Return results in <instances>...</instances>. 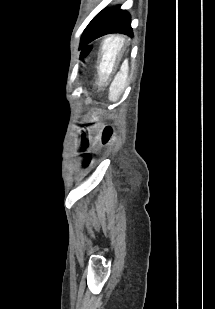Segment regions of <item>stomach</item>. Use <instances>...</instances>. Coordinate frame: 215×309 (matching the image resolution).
Wrapping results in <instances>:
<instances>
[{
  "mask_svg": "<svg viewBox=\"0 0 215 309\" xmlns=\"http://www.w3.org/2000/svg\"><path fill=\"white\" fill-rule=\"evenodd\" d=\"M125 38L110 36L102 42L101 62L98 67L100 83L106 82L122 57Z\"/></svg>",
  "mask_w": 215,
  "mask_h": 309,
  "instance_id": "0dacf381",
  "label": "stomach"
}]
</instances>
